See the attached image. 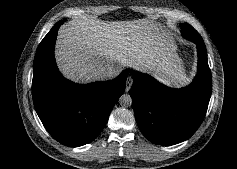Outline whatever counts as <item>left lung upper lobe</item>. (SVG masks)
I'll use <instances>...</instances> for the list:
<instances>
[{"mask_svg": "<svg viewBox=\"0 0 237 169\" xmlns=\"http://www.w3.org/2000/svg\"><path fill=\"white\" fill-rule=\"evenodd\" d=\"M182 34L184 37L190 39V38H198L200 40H203L200 34L189 24H182Z\"/></svg>", "mask_w": 237, "mask_h": 169, "instance_id": "left-lung-upper-lobe-1", "label": "left lung upper lobe"}]
</instances>
